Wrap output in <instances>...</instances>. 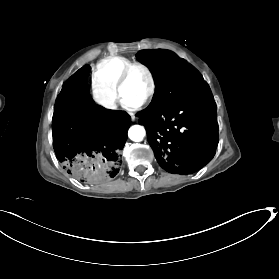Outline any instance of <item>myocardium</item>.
I'll return each instance as SVG.
<instances>
[{"label": "myocardium", "instance_id": "myocardium-1", "mask_svg": "<svg viewBox=\"0 0 279 279\" xmlns=\"http://www.w3.org/2000/svg\"><path fill=\"white\" fill-rule=\"evenodd\" d=\"M134 69L143 70L147 74V76L149 78V81H150V88H149V91H148L147 95L138 104V106L140 107V106H143V105L147 104L148 102H150L153 99V97L155 96V93H156V80H155L153 72L151 71V69L147 65H145L143 63H140V62H132L129 65H127L121 71V73L119 75L118 83H117V93L122 98L123 91H124V88L126 86L129 75Z\"/></svg>", "mask_w": 279, "mask_h": 279}]
</instances>
